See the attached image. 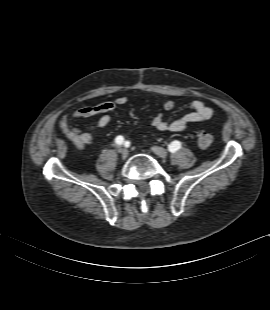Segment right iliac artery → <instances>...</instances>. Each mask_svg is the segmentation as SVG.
<instances>
[{"mask_svg":"<svg viewBox=\"0 0 270 310\" xmlns=\"http://www.w3.org/2000/svg\"><path fill=\"white\" fill-rule=\"evenodd\" d=\"M115 142L117 145H122V143L124 142V138L123 136H117L116 139H115Z\"/></svg>","mask_w":270,"mask_h":310,"instance_id":"82829eb1","label":"right iliac artery"}]
</instances>
